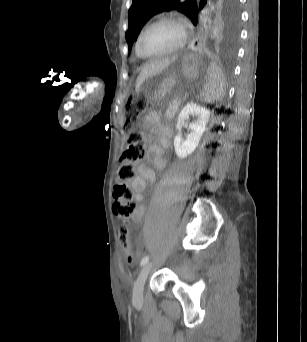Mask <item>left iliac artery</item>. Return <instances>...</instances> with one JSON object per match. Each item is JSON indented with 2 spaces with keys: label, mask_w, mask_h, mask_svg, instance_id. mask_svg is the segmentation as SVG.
<instances>
[{
  "label": "left iliac artery",
  "mask_w": 307,
  "mask_h": 342,
  "mask_svg": "<svg viewBox=\"0 0 307 342\" xmlns=\"http://www.w3.org/2000/svg\"><path fill=\"white\" fill-rule=\"evenodd\" d=\"M148 261H149V256H145V257L141 260L140 265H141V266H144Z\"/></svg>",
  "instance_id": "1"
}]
</instances>
